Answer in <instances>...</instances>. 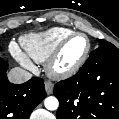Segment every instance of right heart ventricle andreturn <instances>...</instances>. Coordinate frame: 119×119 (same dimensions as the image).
I'll return each mask as SVG.
<instances>
[{
	"label": "right heart ventricle",
	"instance_id": "1",
	"mask_svg": "<svg viewBox=\"0 0 119 119\" xmlns=\"http://www.w3.org/2000/svg\"><path fill=\"white\" fill-rule=\"evenodd\" d=\"M72 32L73 30L66 27H53L43 32L31 33L23 37L22 46L31 59L43 63L58 43Z\"/></svg>",
	"mask_w": 119,
	"mask_h": 119
}]
</instances>
